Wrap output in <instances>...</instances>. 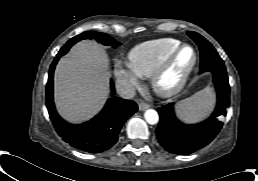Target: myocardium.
I'll return each mask as SVG.
<instances>
[{
	"label": "myocardium",
	"instance_id": "myocardium-1",
	"mask_svg": "<svg viewBox=\"0 0 258 181\" xmlns=\"http://www.w3.org/2000/svg\"><path fill=\"white\" fill-rule=\"evenodd\" d=\"M185 48H189L192 51V61L180 72L175 81L170 84L165 83L167 75L174 68L179 54ZM197 61L198 56L194 47L190 44H180L158 65L153 72L151 82L154 91L161 97H172L179 93L187 83L189 76L197 64Z\"/></svg>",
	"mask_w": 258,
	"mask_h": 181
}]
</instances>
